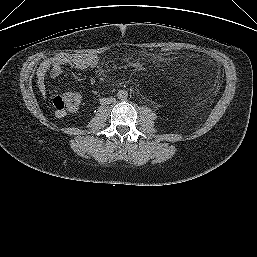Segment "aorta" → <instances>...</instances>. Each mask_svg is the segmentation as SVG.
<instances>
[{
    "mask_svg": "<svg viewBox=\"0 0 257 257\" xmlns=\"http://www.w3.org/2000/svg\"><path fill=\"white\" fill-rule=\"evenodd\" d=\"M117 97L121 101H125L128 98V92L126 90H119L117 93Z\"/></svg>",
    "mask_w": 257,
    "mask_h": 257,
    "instance_id": "762f6f07",
    "label": "aorta"
}]
</instances>
